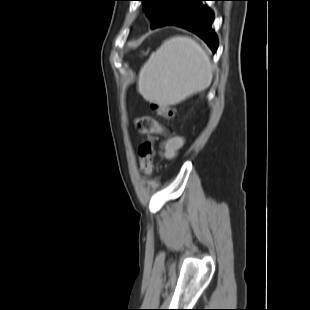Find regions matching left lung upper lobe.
I'll use <instances>...</instances> for the list:
<instances>
[{"mask_svg": "<svg viewBox=\"0 0 310 310\" xmlns=\"http://www.w3.org/2000/svg\"><path fill=\"white\" fill-rule=\"evenodd\" d=\"M148 17L152 20L151 28L170 24L184 8L188 0H141Z\"/></svg>", "mask_w": 310, "mask_h": 310, "instance_id": "1", "label": "left lung upper lobe"}]
</instances>
